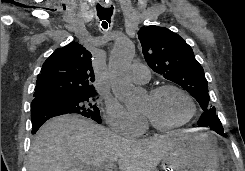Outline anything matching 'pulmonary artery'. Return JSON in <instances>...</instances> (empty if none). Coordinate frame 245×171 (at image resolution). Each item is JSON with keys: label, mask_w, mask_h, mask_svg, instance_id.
<instances>
[{"label": "pulmonary artery", "mask_w": 245, "mask_h": 171, "mask_svg": "<svg viewBox=\"0 0 245 171\" xmlns=\"http://www.w3.org/2000/svg\"><path fill=\"white\" fill-rule=\"evenodd\" d=\"M128 78L134 83H146L150 79V70L142 63H133L128 70Z\"/></svg>", "instance_id": "pulmonary-artery-1"}]
</instances>
